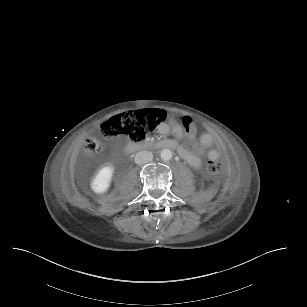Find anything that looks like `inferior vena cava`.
Masks as SVG:
<instances>
[{"mask_svg": "<svg viewBox=\"0 0 307 307\" xmlns=\"http://www.w3.org/2000/svg\"><path fill=\"white\" fill-rule=\"evenodd\" d=\"M153 159V154L150 151H139L134 157V161L138 165H143L151 162Z\"/></svg>", "mask_w": 307, "mask_h": 307, "instance_id": "602c4592", "label": "inferior vena cava"}]
</instances>
